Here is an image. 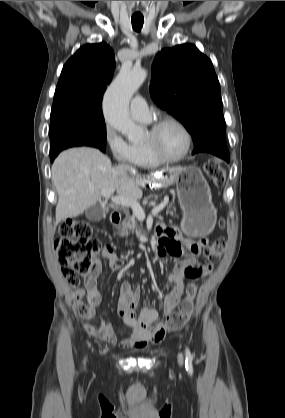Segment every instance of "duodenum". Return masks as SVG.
Returning a JSON list of instances; mask_svg holds the SVG:
<instances>
[{"mask_svg": "<svg viewBox=\"0 0 285 418\" xmlns=\"http://www.w3.org/2000/svg\"><path fill=\"white\" fill-rule=\"evenodd\" d=\"M110 221L113 225L118 226L122 221V215L119 211L114 210L110 215Z\"/></svg>", "mask_w": 285, "mask_h": 418, "instance_id": "duodenum-1", "label": "duodenum"}]
</instances>
